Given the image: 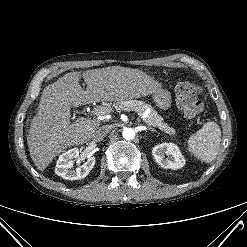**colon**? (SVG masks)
I'll list each match as a JSON object with an SVG mask.
<instances>
[{"label": "colon", "mask_w": 247, "mask_h": 247, "mask_svg": "<svg viewBox=\"0 0 247 247\" xmlns=\"http://www.w3.org/2000/svg\"><path fill=\"white\" fill-rule=\"evenodd\" d=\"M198 87L190 82H180L175 87L176 104L184 117L193 119L203 110V103L198 97Z\"/></svg>", "instance_id": "1"}]
</instances>
